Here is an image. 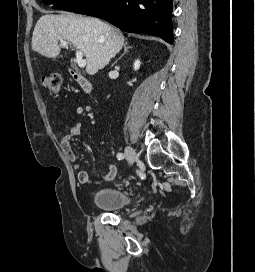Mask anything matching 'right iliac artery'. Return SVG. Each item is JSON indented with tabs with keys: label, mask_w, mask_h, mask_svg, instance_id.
I'll return each mask as SVG.
<instances>
[{
	"label": "right iliac artery",
	"mask_w": 255,
	"mask_h": 272,
	"mask_svg": "<svg viewBox=\"0 0 255 272\" xmlns=\"http://www.w3.org/2000/svg\"><path fill=\"white\" fill-rule=\"evenodd\" d=\"M124 158V154L123 153H118L117 154V159L118 160H122Z\"/></svg>",
	"instance_id": "right-iliac-artery-1"
}]
</instances>
